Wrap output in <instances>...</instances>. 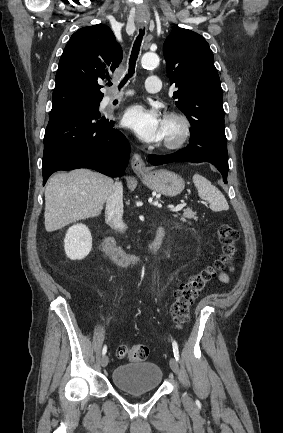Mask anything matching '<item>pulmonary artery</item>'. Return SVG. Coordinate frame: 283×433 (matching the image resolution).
Here are the masks:
<instances>
[{
  "mask_svg": "<svg viewBox=\"0 0 283 433\" xmlns=\"http://www.w3.org/2000/svg\"><path fill=\"white\" fill-rule=\"evenodd\" d=\"M143 85L145 86L146 92H159L162 80L161 78H158V74L156 72H149L147 74V78L143 80ZM123 96H112L110 97V100L113 101L115 99H122Z\"/></svg>",
  "mask_w": 283,
  "mask_h": 433,
  "instance_id": "pulmonary-artery-1",
  "label": "pulmonary artery"
}]
</instances>
